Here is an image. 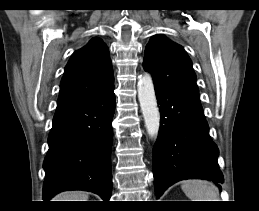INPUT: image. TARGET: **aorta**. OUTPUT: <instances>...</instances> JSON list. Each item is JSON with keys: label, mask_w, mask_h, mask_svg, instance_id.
Wrapping results in <instances>:
<instances>
[{"label": "aorta", "mask_w": 259, "mask_h": 211, "mask_svg": "<svg viewBox=\"0 0 259 211\" xmlns=\"http://www.w3.org/2000/svg\"><path fill=\"white\" fill-rule=\"evenodd\" d=\"M137 91L147 133L151 138H155L160 128V112L153 80L149 74H144L139 78Z\"/></svg>", "instance_id": "1"}]
</instances>
